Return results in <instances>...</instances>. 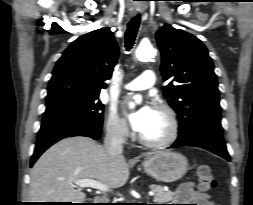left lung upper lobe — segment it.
<instances>
[{
    "mask_svg": "<svg viewBox=\"0 0 253 205\" xmlns=\"http://www.w3.org/2000/svg\"><path fill=\"white\" fill-rule=\"evenodd\" d=\"M161 51V74L172 79L164 97L177 112L179 139H188L199 127H221V107L214 66L204 44L194 35L170 25L156 33Z\"/></svg>",
    "mask_w": 253,
    "mask_h": 205,
    "instance_id": "left-lung-upper-lobe-1",
    "label": "left lung upper lobe"
}]
</instances>
